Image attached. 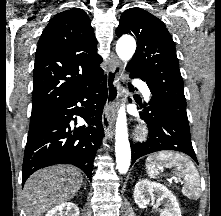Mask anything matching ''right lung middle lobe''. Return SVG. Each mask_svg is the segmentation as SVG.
Here are the masks:
<instances>
[{"mask_svg":"<svg viewBox=\"0 0 221 216\" xmlns=\"http://www.w3.org/2000/svg\"><path fill=\"white\" fill-rule=\"evenodd\" d=\"M46 114L47 112H44L31 116L29 133L34 132L40 126V124L44 121Z\"/></svg>","mask_w":221,"mask_h":216,"instance_id":"1","label":"right lung middle lobe"}]
</instances>
